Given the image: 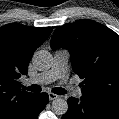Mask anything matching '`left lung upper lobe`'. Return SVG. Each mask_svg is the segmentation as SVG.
<instances>
[{
	"mask_svg": "<svg viewBox=\"0 0 119 119\" xmlns=\"http://www.w3.org/2000/svg\"><path fill=\"white\" fill-rule=\"evenodd\" d=\"M51 48L70 52L73 71L83 79L82 97L119 109V35L82 19L57 27Z\"/></svg>",
	"mask_w": 119,
	"mask_h": 119,
	"instance_id": "obj_1",
	"label": "left lung upper lobe"
}]
</instances>
